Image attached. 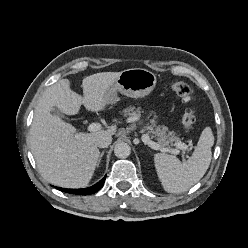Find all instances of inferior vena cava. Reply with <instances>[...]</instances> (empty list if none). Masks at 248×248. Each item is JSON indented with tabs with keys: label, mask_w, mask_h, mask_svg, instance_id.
Masks as SVG:
<instances>
[{
	"label": "inferior vena cava",
	"mask_w": 248,
	"mask_h": 248,
	"mask_svg": "<svg viewBox=\"0 0 248 248\" xmlns=\"http://www.w3.org/2000/svg\"><path fill=\"white\" fill-rule=\"evenodd\" d=\"M112 142V137L110 135H102L96 139V146L99 148H106Z\"/></svg>",
	"instance_id": "602c4592"
}]
</instances>
